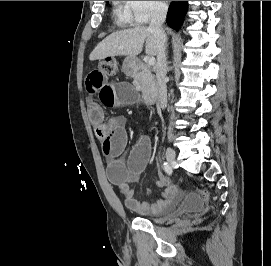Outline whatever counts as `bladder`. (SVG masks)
<instances>
[{
    "mask_svg": "<svg viewBox=\"0 0 271 266\" xmlns=\"http://www.w3.org/2000/svg\"><path fill=\"white\" fill-rule=\"evenodd\" d=\"M202 210V202L198 195L188 194L184 196L181 205L174 209L169 215L156 216V215H139V218L149 220L153 223H163L176 216H183L188 213L199 212Z\"/></svg>",
    "mask_w": 271,
    "mask_h": 266,
    "instance_id": "obj_1",
    "label": "bladder"
}]
</instances>
